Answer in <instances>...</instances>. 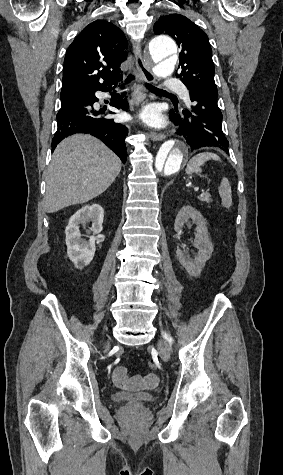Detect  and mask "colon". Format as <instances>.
<instances>
[{
    "mask_svg": "<svg viewBox=\"0 0 283 475\" xmlns=\"http://www.w3.org/2000/svg\"><path fill=\"white\" fill-rule=\"evenodd\" d=\"M158 365L159 364H158V361L156 359H152L148 364L149 369L152 370V371L156 370L158 368Z\"/></svg>",
    "mask_w": 283,
    "mask_h": 475,
    "instance_id": "obj_1",
    "label": "colon"
}]
</instances>
